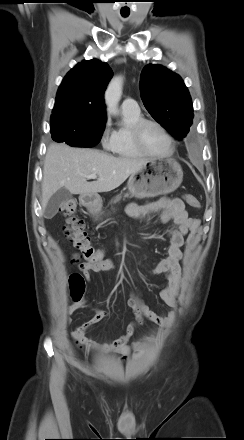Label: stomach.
Returning a JSON list of instances; mask_svg holds the SVG:
<instances>
[{"label":"stomach","mask_w":244,"mask_h":440,"mask_svg":"<svg viewBox=\"0 0 244 440\" xmlns=\"http://www.w3.org/2000/svg\"><path fill=\"white\" fill-rule=\"evenodd\" d=\"M182 180L183 170L175 159H151L141 170L130 175L127 187L136 197H154L174 192ZM81 202L93 215L100 214L102 200L99 196L83 195Z\"/></svg>","instance_id":"0dacf381"}]
</instances>
